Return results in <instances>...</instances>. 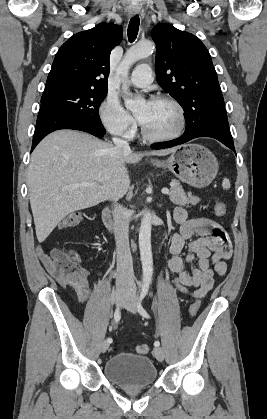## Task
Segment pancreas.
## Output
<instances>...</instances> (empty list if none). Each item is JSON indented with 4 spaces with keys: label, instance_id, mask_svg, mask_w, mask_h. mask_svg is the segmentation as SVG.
<instances>
[{
    "label": "pancreas",
    "instance_id": "pancreas-1",
    "mask_svg": "<svg viewBox=\"0 0 267 419\" xmlns=\"http://www.w3.org/2000/svg\"><path fill=\"white\" fill-rule=\"evenodd\" d=\"M169 198L174 204L181 206H189V204L196 205L200 202V198L193 196L191 192L186 194L180 182L177 180H172L171 182Z\"/></svg>",
    "mask_w": 267,
    "mask_h": 419
}]
</instances>
